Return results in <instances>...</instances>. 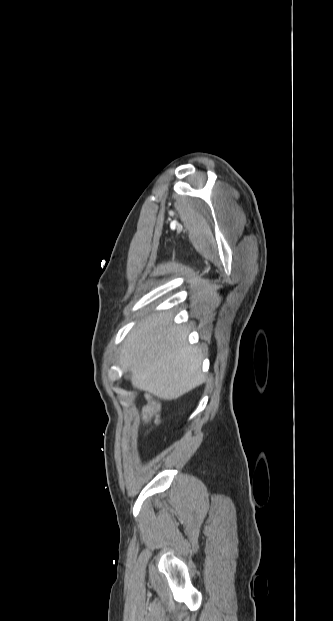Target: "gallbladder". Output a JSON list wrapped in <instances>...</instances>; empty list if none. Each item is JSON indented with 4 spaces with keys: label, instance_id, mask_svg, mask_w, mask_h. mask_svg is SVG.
I'll use <instances>...</instances> for the list:
<instances>
[{
    "label": "gallbladder",
    "instance_id": "obj_1",
    "mask_svg": "<svg viewBox=\"0 0 333 621\" xmlns=\"http://www.w3.org/2000/svg\"><path fill=\"white\" fill-rule=\"evenodd\" d=\"M125 378L127 380H129L131 378V372L130 371L125 372Z\"/></svg>",
    "mask_w": 333,
    "mask_h": 621
}]
</instances>
